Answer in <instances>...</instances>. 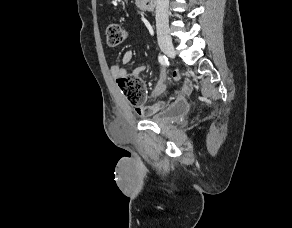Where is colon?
<instances>
[{
    "instance_id": "1",
    "label": "colon",
    "mask_w": 292,
    "mask_h": 228,
    "mask_svg": "<svg viewBox=\"0 0 292 228\" xmlns=\"http://www.w3.org/2000/svg\"><path fill=\"white\" fill-rule=\"evenodd\" d=\"M106 38L110 46H118L128 38V31L118 23H110L106 28ZM119 88L127 101L135 108H141L145 100V89L141 79L126 75L117 79Z\"/></svg>"
}]
</instances>
